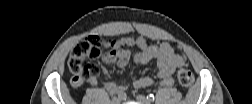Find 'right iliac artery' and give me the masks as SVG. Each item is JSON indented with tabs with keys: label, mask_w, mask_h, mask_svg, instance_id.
Returning <instances> with one entry per match:
<instances>
[{
	"label": "right iliac artery",
	"mask_w": 252,
	"mask_h": 104,
	"mask_svg": "<svg viewBox=\"0 0 252 104\" xmlns=\"http://www.w3.org/2000/svg\"><path fill=\"white\" fill-rule=\"evenodd\" d=\"M114 98H115V97H114ZM114 98H112V99H114ZM118 98H119L120 100H124V99L126 98V94L123 93V92H120V93L118 94Z\"/></svg>",
	"instance_id": "1"
}]
</instances>
